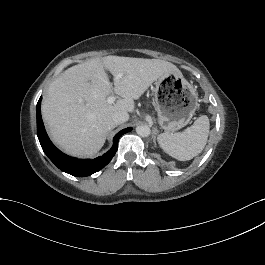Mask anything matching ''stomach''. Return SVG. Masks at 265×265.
Wrapping results in <instances>:
<instances>
[{
  "instance_id": "1",
  "label": "stomach",
  "mask_w": 265,
  "mask_h": 265,
  "mask_svg": "<svg viewBox=\"0 0 265 265\" xmlns=\"http://www.w3.org/2000/svg\"><path fill=\"white\" fill-rule=\"evenodd\" d=\"M154 104L159 125L166 132H174L191 120L198 106V94L182 74L171 72L156 80Z\"/></svg>"
}]
</instances>
